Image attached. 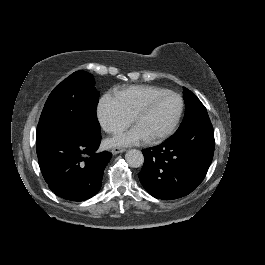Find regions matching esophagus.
<instances>
[{
    "mask_svg": "<svg viewBox=\"0 0 265 265\" xmlns=\"http://www.w3.org/2000/svg\"><path fill=\"white\" fill-rule=\"evenodd\" d=\"M126 151V149L125 148H122V147H115V148H113L112 149V153L113 154H118V153H123V152H125Z\"/></svg>",
    "mask_w": 265,
    "mask_h": 265,
    "instance_id": "esophagus-1",
    "label": "esophagus"
}]
</instances>
